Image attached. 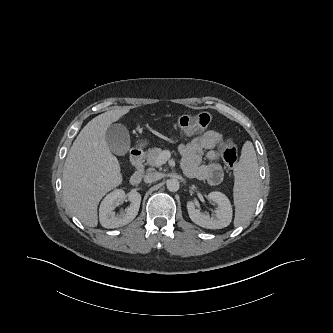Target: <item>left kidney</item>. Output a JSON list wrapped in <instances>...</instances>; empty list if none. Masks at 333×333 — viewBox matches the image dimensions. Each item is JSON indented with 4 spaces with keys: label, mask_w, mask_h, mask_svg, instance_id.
Returning <instances> with one entry per match:
<instances>
[{
    "label": "left kidney",
    "mask_w": 333,
    "mask_h": 333,
    "mask_svg": "<svg viewBox=\"0 0 333 333\" xmlns=\"http://www.w3.org/2000/svg\"><path fill=\"white\" fill-rule=\"evenodd\" d=\"M208 198L217 203L219 209L213 216L200 212L192 201L187 202V210L190 219L197 225L207 229H221L227 227L232 220V205L227 196L221 192L213 191Z\"/></svg>",
    "instance_id": "left-kidney-1"
}]
</instances>
